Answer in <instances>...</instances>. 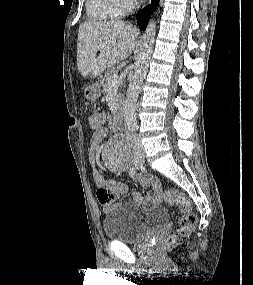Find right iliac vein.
Masks as SVG:
<instances>
[{
    "instance_id": "right-iliac-vein-1",
    "label": "right iliac vein",
    "mask_w": 253,
    "mask_h": 285,
    "mask_svg": "<svg viewBox=\"0 0 253 285\" xmlns=\"http://www.w3.org/2000/svg\"><path fill=\"white\" fill-rule=\"evenodd\" d=\"M135 158H136V161L138 162V164L143 163V161H144V153H143V151L140 148H137L135 150Z\"/></svg>"
}]
</instances>
